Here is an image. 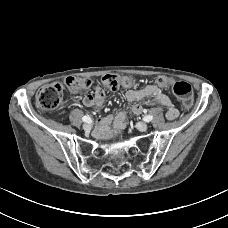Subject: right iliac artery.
<instances>
[{
	"label": "right iliac artery",
	"mask_w": 228,
	"mask_h": 228,
	"mask_svg": "<svg viewBox=\"0 0 228 228\" xmlns=\"http://www.w3.org/2000/svg\"><path fill=\"white\" fill-rule=\"evenodd\" d=\"M82 121L83 122H89L90 121V117L87 115V116H84L83 118H82Z\"/></svg>",
	"instance_id": "82829eb1"
}]
</instances>
